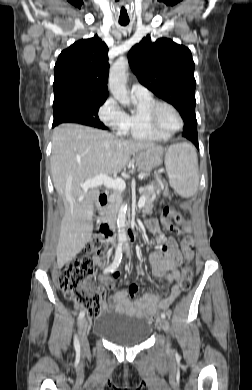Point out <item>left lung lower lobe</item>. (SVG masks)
Segmentation results:
<instances>
[{"mask_svg":"<svg viewBox=\"0 0 252 390\" xmlns=\"http://www.w3.org/2000/svg\"><path fill=\"white\" fill-rule=\"evenodd\" d=\"M184 137L191 140L197 148L198 146V138H197V121L194 117H189L184 119V127L183 134Z\"/></svg>","mask_w":252,"mask_h":390,"instance_id":"left-lung-lower-lobe-1","label":"left lung lower lobe"}]
</instances>
